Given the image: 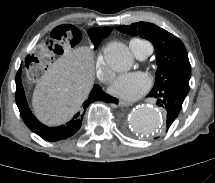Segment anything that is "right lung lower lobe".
<instances>
[{"mask_svg":"<svg viewBox=\"0 0 215 183\" xmlns=\"http://www.w3.org/2000/svg\"><path fill=\"white\" fill-rule=\"evenodd\" d=\"M16 103L20 111V115L23 118L26 125L37 135L47 141H58L66 139L75 134L81 127L83 116L86 108L96 101H103L107 103H118V100L108 94H106L102 88L95 84L91 90L88 99L85 101L82 109L74 116L73 120L69 121L65 125L58 127H47L40 123L30 111L26 102L24 89L21 82V69L16 75Z\"/></svg>","mask_w":215,"mask_h":183,"instance_id":"obj_1","label":"right lung lower lobe"}]
</instances>
